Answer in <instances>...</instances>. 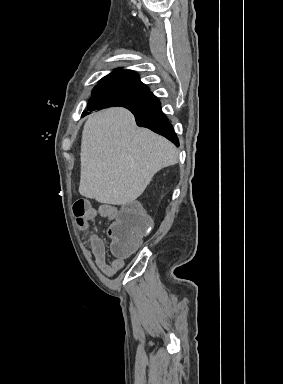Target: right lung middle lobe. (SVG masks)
Masks as SVG:
<instances>
[{
  "mask_svg": "<svg viewBox=\"0 0 283 384\" xmlns=\"http://www.w3.org/2000/svg\"><path fill=\"white\" fill-rule=\"evenodd\" d=\"M88 102V109L99 110L111 106L143 109L153 105L157 98L150 91L120 86H96Z\"/></svg>",
  "mask_w": 283,
  "mask_h": 384,
  "instance_id": "1",
  "label": "right lung middle lobe"
}]
</instances>
